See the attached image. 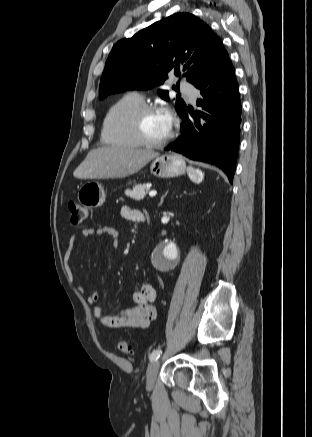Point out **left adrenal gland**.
<instances>
[{
	"label": "left adrenal gland",
	"mask_w": 312,
	"mask_h": 437,
	"mask_svg": "<svg viewBox=\"0 0 312 437\" xmlns=\"http://www.w3.org/2000/svg\"><path fill=\"white\" fill-rule=\"evenodd\" d=\"M167 196V192L165 193V195L161 198V201H160V204H159V206L163 203V201H164V198Z\"/></svg>",
	"instance_id": "1"
}]
</instances>
